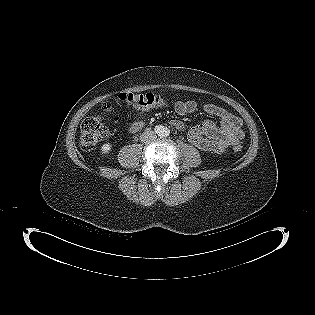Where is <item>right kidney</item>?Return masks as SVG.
<instances>
[{"instance_id": "ca27d5eb", "label": "right kidney", "mask_w": 315, "mask_h": 315, "mask_svg": "<svg viewBox=\"0 0 315 315\" xmlns=\"http://www.w3.org/2000/svg\"><path fill=\"white\" fill-rule=\"evenodd\" d=\"M111 149H112V144L111 143H104L102 146H101V154L102 155H107V154H109L110 153V151H111Z\"/></svg>"}]
</instances>
